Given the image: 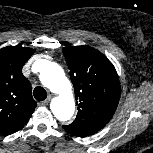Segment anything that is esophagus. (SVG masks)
I'll list each match as a JSON object with an SVG mask.
<instances>
[{
  "instance_id": "obj_1",
  "label": "esophagus",
  "mask_w": 153,
  "mask_h": 153,
  "mask_svg": "<svg viewBox=\"0 0 153 153\" xmlns=\"http://www.w3.org/2000/svg\"><path fill=\"white\" fill-rule=\"evenodd\" d=\"M51 99H52V95H49L41 104L42 105H47L50 102Z\"/></svg>"
}]
</instances>
